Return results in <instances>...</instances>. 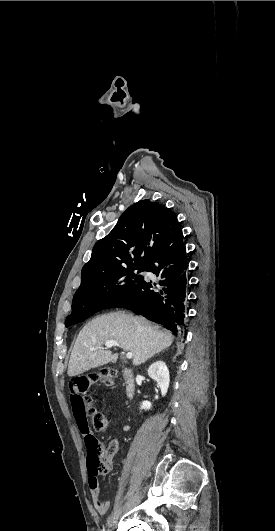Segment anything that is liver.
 I'll list each match as a JSON object with an SVG mask.
<instances>
[{
	"label": "liver",
	"mask_w": 275,
	"mask_h": 531,
	"mask_svg": "<svg viewBox=\"0 0 275 531\" xmlns=\"http://www.w3.org/2000/svg\"><path fill=\"white\" fill-rule=\"evenodd\" d=\"M106 341H117L123 351L132 353L133 365H142L156 353L170 347L173 335L170 331H158V327H151L143 317H132L123 311L100 315L80 331L70 355L69 377L107 363H117V353L112 355V351H104Z\"/></svg>",
	"instance_id": "obj_1"
}]
</instances>
